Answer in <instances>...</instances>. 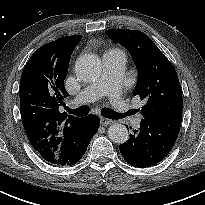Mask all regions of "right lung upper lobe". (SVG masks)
Wrapping results in <instances>:
<instances>
[{
    "mask_svg": "<svg viewBox=\"0 0 205 205\" xmlns=\"http://www.w3.org/2000/svg\"><path fill=\"white\" fill-rule=\"evenodd\" d=\"M82 35L66 36L36 50L20 81V108L26 135L34 150L46 161L61 144L64 134L80 119L58 111L67 92L64 79L71 54Z\"/></svg>",
    "mask_w": 205,
    "mask_h": 205,
    "instance_id": "cb5924a9",
    "label": "right lung upper lobe"
}]
</instances>
